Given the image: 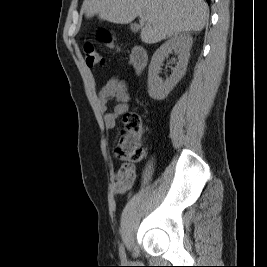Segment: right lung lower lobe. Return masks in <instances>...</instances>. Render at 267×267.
<instances>
[{
	"label": "right lung lower lobe",
	"mask_w": 267,
	"mask_h": 267,
	"mask_svg": "<svg viewBox=\"0 0 267 267\" xmlns=\"http://www.w3.org/2000/svg\"><path fill=\"white\" fill-rule=\"evenodd\" d=\"M206 1L208 2V4H210V1H211V0H206Z\"/></svg>",
	"instance_id": "1"
}]
</instances>
